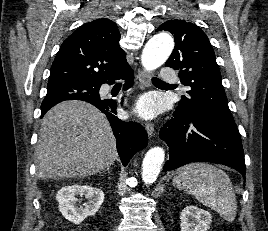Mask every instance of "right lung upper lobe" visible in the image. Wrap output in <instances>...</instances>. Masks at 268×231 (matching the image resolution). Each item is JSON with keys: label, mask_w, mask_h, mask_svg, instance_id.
<instances>
[{"label": "right lung upper lobe", "mask_w": 268, "mask_h": 231, "mask_svg": "<svg viewBox=\"0 0 268 231\" xmlns=\"http://www.w3.org/2000/svg\"><path fill=\"white\" fill-rule=\"evenodd\" d=\"M119 40L116 23L109 19L82 25L62 43L51 66L48 84L73 81L100 87L110 81L128 65ZM57 103L42 102L41 110Z\"/></svg>", "instance_id": "obj_1"}]
</instances>
